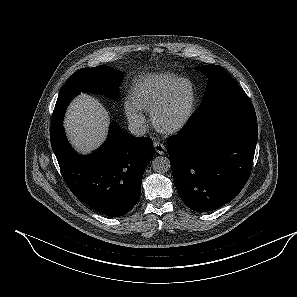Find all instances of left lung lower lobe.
Returning a JSON list of instances; mask_svg holds the SVG:
<instances>
[{
  "label": "left lung lower lobe",
  "instance_id": "obj_1",
  "mask_svg": "<svg viewBox=\"0 0 297 297\" xmlns=\"http://www.w3.org/2000/svg\"><path fill=\"white\" fill-rule=\"evenodd\" d=\"M258 138L249 100L224 101L196 112L168 140L167 151L177 192L192 210H215L245 186Z\"/></svg>",
  "mask_w": 297,
  "mask_h": 297
}]
</instances>
